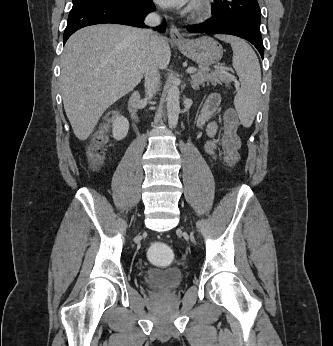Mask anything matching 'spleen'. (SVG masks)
Listing matches in <instances>:
<instances>
[{
	"label": "spleen",
	"instance_id": "3e777b00",
	"mask_svg": "<svg viewBox=\"0 0 333 346\" xmlns=\"http://www.w3.org/2000/svg\"><path fill=\"white\" fill-rule=\"evenodd\" d=\"M230 43L233 50V67L239 77L241 87L234 98V105L244 127H250L254 121L261 84V69L253 49L245 41L233 36H218Z\"/></svg>",
	"mask_w": 333,
	"mask_h": 346
}]
</instances>
